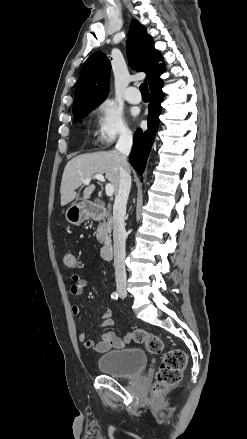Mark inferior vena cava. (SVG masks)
<instances>
[{
	"label": "inferior vena cava",
	"instance_id": "obj_1",
	"mask_svg": "<svg viewBox=\"0 0 247 439\" xmlns=\"http://www.w3.org/2000/svg\"><path fill=\"white\" fill-rule=\"evenodd\" d=\"M132 134L130 131H123L116 144L120 155V182L113 206V241H114V267L117 289L126 288L125 269V241L126 230L124 217L126 205L131 189V175L127 156L132 148Z\"/></svg>",
	"mask_w": 247,
	"mask_h": 439
}]
</instances>
